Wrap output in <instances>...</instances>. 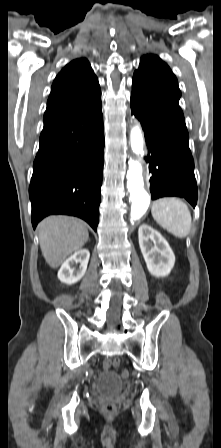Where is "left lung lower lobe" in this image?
Instances as JSON below:
<instances>
[{"label":"left lung lower lobe","mask_w":221,"mask_h":448,"mask_svg":"<svg viewBox=\"0 0 221 448\" xmlns=\"http://www.w3.org/2000/svg\"><path fill=\"white\" fill-rule=\"evenodd\" d=\"M131 110L146 137L151 198L184 197L195 207L197 185L184 116L135 89L131 94Z\"/></svg>","instance_id":"0a47b994"}]
</instances>
